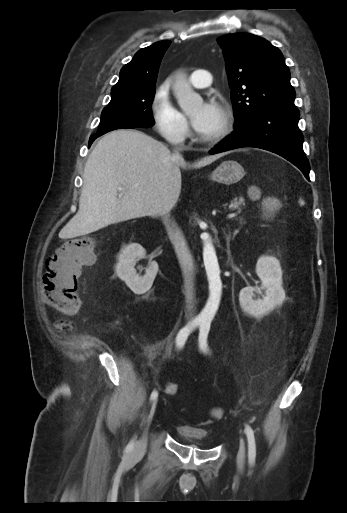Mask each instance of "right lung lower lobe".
Instances as JSON below:
<instances>
[{
  "label": "right lung lower lobe",
  "mask_w": 347,
  "mask_h": 513,
  "mask_svg": "<svg viewBox=\"0 0 347 513\" xmlns=\"http://www.w3.org/2000/svg\"><path fill=\"white\" fill-rule=\"evenodd\" d=\"M104 134H105V133H104ZM101 135H103V134H95V135H92V136L90 137V139H89V147H90V145L92 144V142H93L97 137H99V136H101Z\"/></svg>",
  "instance_id": "obj_1"
}]
</instances>
